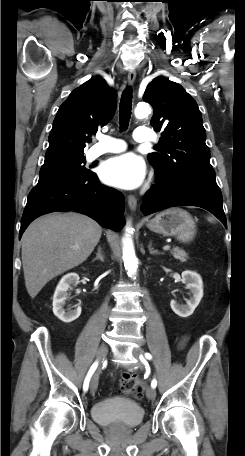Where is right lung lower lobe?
I'll return each instance as SVG.
<instances>
[{
    "mask_svg": "<svg viewBox=\"0 0 245 456\" xmlns=\"http://www.w3.org/2000/svg\"><path fill=\"white\" fill-rule=\"evenodd\" d=\"M55 211H76L119 231L124 224V197L102 185L95 173L87 178L36 185L28 196L19 238L34 219Z\"/></svg>",
    "mask_w": 245,
    "mask_h": 456,
    "instance_id": "1",
    "label": "right lung lower lobe"
}]
</instances>
